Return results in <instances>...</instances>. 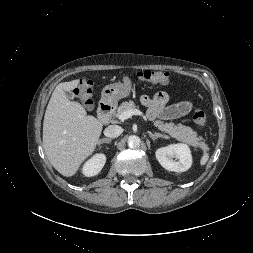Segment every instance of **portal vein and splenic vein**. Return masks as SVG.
Segmentation results:
<instances>
[{
  "mask_svg": "<svg viewBox=\"0 0 253 253\" xmlns=\"http://www.w3.org/2000/svg\"><path fill=\"white\" fill-rule=\"evenodd\" d=\"M133 115L144 116L143 113L140 110H138V109H132V110H128V111H125V112L121 113L118 116V119L124 121V120L132 117Z\"/></svg>",
  "mask_w": 253,
  "mask_h": 253,
  "instance_id": "portal-vein-and-splenic-vein-1",
  "label": "portal vein and splenic vein"
}]
</instances>
